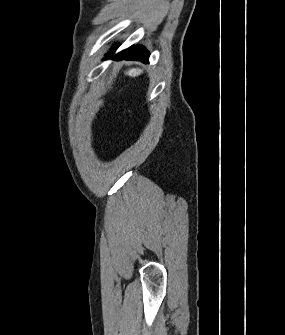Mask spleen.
<instances>
[{"mask_svg": "<svg viewBox=\"0 0 285 335\" xmlns=\"http://www.w3.org/2000/svg\"><path fill=\"white\" fill-rule=\"evenodd\" d=\"M128 74L129 76H139V74H141V70H130Z\"/></svg>", "mask_w": 285, "mask_h": 335, "instance_id": "1", "label": "spleen"}]
</instances>
